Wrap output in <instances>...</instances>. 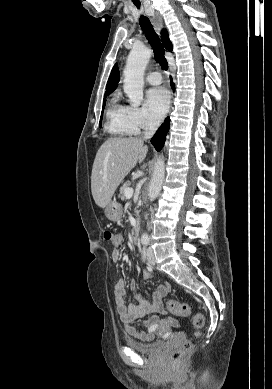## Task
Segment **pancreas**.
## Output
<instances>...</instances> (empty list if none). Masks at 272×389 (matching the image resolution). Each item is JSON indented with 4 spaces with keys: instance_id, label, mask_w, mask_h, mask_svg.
Instances as JSON below:
<instances>
[{
    "instance_id": "1",
    "label": "pancreas",
    "mask_w": 272,
    "mask_h": 389,
    "mask_svg": "<svg viewBox=\"0 0 272 389\" xmlns=\"http://www.w3.org/2000/svg\"><path fill=\"white\" fill-rule=\"evenodd\" d=\"M130 185V182H125L121 188H120V194H121V199L122 200H125L126 199V196H125V189L128 188V186Z\"/></svg>"
}]
</instances>
